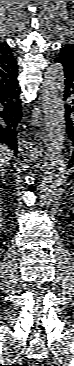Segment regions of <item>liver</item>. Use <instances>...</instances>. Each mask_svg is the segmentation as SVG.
<instances>
[{"label":"liver","mask_w":74,"mask_h":366,"mask_svg":"<svg viewBox=\"0 0 74 366\" xmlns=\"http://www.w3.org/2000/svg\"><path fill=\"white\" fill-rule=\"evenodd\" d=\"M13 156V152L6 145H0V168L4 170L9 165V160Z\"/></svg>","instance_id":"1"}]
</instances>
